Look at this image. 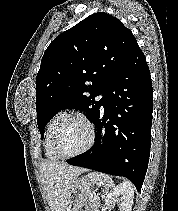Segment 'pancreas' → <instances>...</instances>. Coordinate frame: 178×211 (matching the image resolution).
Listing matches in <instances>:
<instances>
[{
	"instance_id": "1",
	"label": "pancreas",
	"mask_w": 178,
	"mask_h": 211,
	"mask_svg": "<svg viewBox=\"0 0 178 211\" xmlns=\"http://www.w3.org/2000/svg\"><path fill=\"white\" fill-rule=\"evenodd\" d=\"M87 206L93 208L94 211H98L97 209L100 207V200L97 196L91 197L87 200Z\"/></svg>"
}]
</instances>
